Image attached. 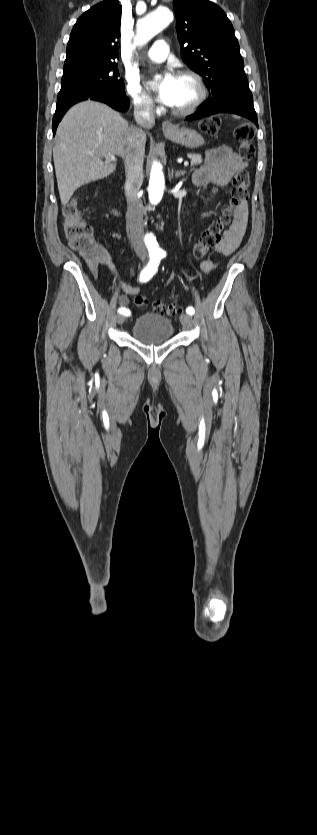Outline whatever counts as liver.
<instances>
[{
  "instance_id": "6515ba94",
  "label": "liver",
  "mask_w": 317,
  "mask_h": 835,
  "mask_svg": "<svg viewBox=\"0 0 317 835\" xmlns=\"http://www.w3.org/2000/svg\"><path fill=\"white\" fill-rule=\"evenodd\" d=\"M130 129L118 112L99 102L83 101L68 110L58 126L53 148L62 205L80 186L116 170V163L107 155L124 158Z\"/></svg>"
}]
</instances>
